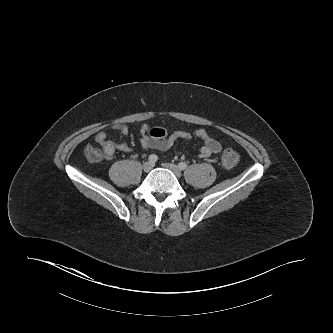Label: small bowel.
<instances>
[{"label":"small bowel","instance_id":"c3829d8e","mask_svg":"<svg viewBox=\"0 0 333 333\" xmlns=\"http://www.w3.org/2000/svg\"><path fill=\"white\" fill-rule=\"evenodd\" d=\"M114 130L118 131L122 135L129 134V128L126 125H115ZM141 145L146 150H159L167 151L172 148L174 142L178 138H183L186 140L199 139L203 142V146L199 150L198 156L201 159H208L217 155L222 147L221 144L211 137L204 129H197L195 131H175L171 133L168 137L163 139H154L147 135V126L141 127ZM94 141L96 144L101 145L104 148L105 156L107 158H112L116 151L130 152L131 148L127 144H117L108 140V134L106 131L98 132Z\"/></svg>","mask_w":333,"mask_h":333}]
</instances>
